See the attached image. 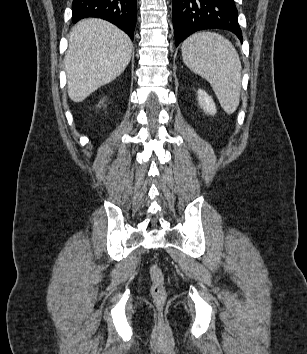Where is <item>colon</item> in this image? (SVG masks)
Returning <instances> with one entry per match:
<instances>
[{
  "instance_id": "colon-1",
  "label": "colon",
  "mask_w": 307,
  "mask_h": 354,
  "mask_svg": "<svg viewBox=\"0 0 307 354\" xmlns=\"http://www.w3.org/2000/svg\"><path fill=\"white\" fill-rule=\"evenodd\" d=\"M150 276H151V295L154 301L158 305H161L164 303L166 299V289H165L164 274L161 268L157 264L151 266Z\"/></svg>"
}]
</instances>
